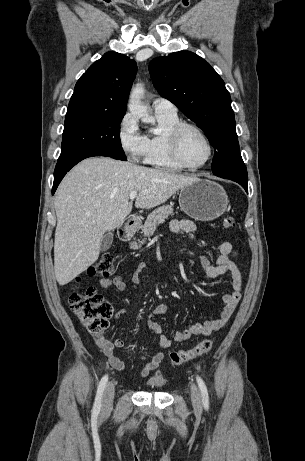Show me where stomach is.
<instances>
[{
    "mask_svg": "<svg viewBox=\"0 0 305 461\" xmlns=\"http://www.w3.org/2000/svg\"><path fill=\"white\" fill-rule=\"evenodd\" d=\"M228 196L222 186L208 179H198L180 189L179 205L191 218L211 221L227 209Z\"/></svg>",
    "mask_w": 305,
    "mask_h": 461,
    "instance_id": "stomach-1",
    "label": "stomach"
}]
</instances>
